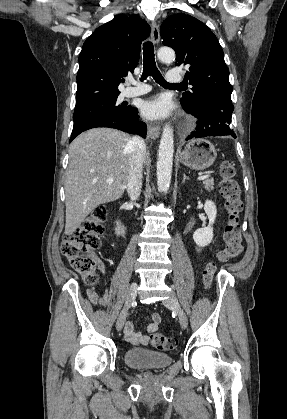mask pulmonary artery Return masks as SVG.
<instances>
[{"label":"pulmonary artery","mask_w":287,"mask_h":419,"mask_svg":"<svg viewBox=\"0 0 287 419\" xmlns=\"http://www.w3.org/2000/svg\"><path fill=\"white\" fill-rule=\"evenodd\" d=\"M182 80L183 77L179 70H170L166 75V81L170 84H179L182 82ZM129 84L131 86H128L123 93L126 97L140 96L147 93L150 90V87L148 85L136 82L133 79L129 81Z\"/></svg>","instance_id":"e3ab8cb5"}]
</instances>
